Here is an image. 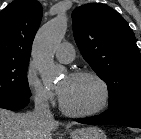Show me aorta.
<instances>
[{
    "label": "aorta",
    "instance_id": "obj_1",
    "mask_svg": "<svg viewBox=\"0 0 141 139\" xmlns=\"http://www.w3.org/2000/svg\"><path fill=\"white\" fill-rule=\"evenodd\" d=\"M67 22V16L59 14L43 25L35 37L32 57L44 84L53 82L60 74L54 65L53 57L56 47L65 36Z\"/></svg>",
    "mask_w": 141,
    "mask_h": 139
}]
</instances>
